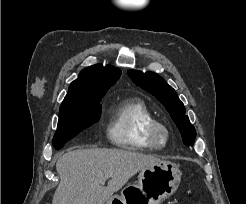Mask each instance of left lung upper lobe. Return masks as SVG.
I'll use <instances>...</instances> for the list:
<instances>
[{"label":"left lung upper lobe","instance_id":"5c2ea615","mask_svg":"<svg viewBox=\"0 0 246 204\" xmlns=\"http://www.w3.org/2000/svg\"><path fill=\"white\" fill-rule=\"evenodd\" d=\"M128 75L136 85L151 93L165 106L180 130L184 144L193 146L196 131L190 123L188 116L185 115L184 105L178 98L175 90L162 77L152 72L143 73L129 70Z\"/></svg>","mask_w":246,"mask_h":204}]
</instances>
